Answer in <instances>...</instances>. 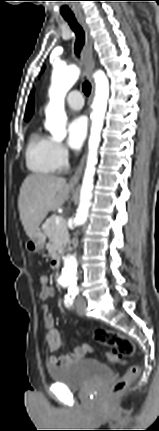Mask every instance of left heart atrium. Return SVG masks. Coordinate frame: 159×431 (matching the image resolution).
I'll return each instance as SVG.
<instances>
[{
  "label": "left heart atrium",
  "instance_id": "obj_1",
  "mask_svg": "<svg viewBox=\"0 0 159 431\" xmlns=\"http://www.w3.org/2000/svg\"><path fill=\"white\" fill-rule=\"evenodd\" d=\"M87 135V119L84 116H77L73 118L68 124V145L78 150Z\"/></svg>",
  "mask_w": 159,
  "mask_h": 431
}]
</instances>
